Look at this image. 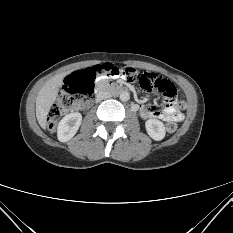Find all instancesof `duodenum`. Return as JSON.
Instances as JSON below:
<instances>
[{
	"label": "duodenum",
	"mask_w": 233,
	"mask_h": 233,
	"mask_svg": "<svg viewBox=\"0 0 233 233\" xmlns=\"http://www.w3.org/2000/svg\"><path fill=\"white\" fill-rule=\"evenodd\" d=\"M125 89L121 84L110 83L102 81L96 87V94L98 93H122Z\"/></svg>",
	"instance_id": "410a0bca"
}]
</instances>
